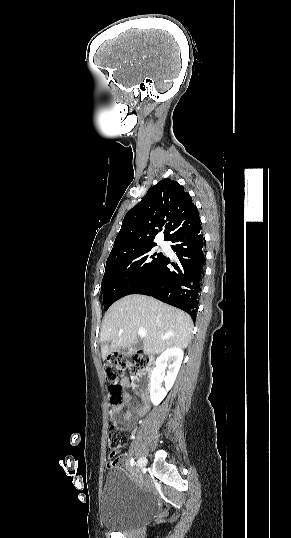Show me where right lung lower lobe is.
<instances>
[{
	"mask_svg": "<svg viewBox=\"0 0 291 538\" xmlns=\"http://www.w3.org/2000/svg\"><path fill=\"white\" fill-rule=\"evenodd\" d=\"M199 222L170 241L178 262L169 269L170 259L163 256L147 278L131 293L152 296L178 307L196 318L205 265V240Z\"/></svg>",
	"mask_w": 291,
	"mask_h": 538,
	"instance_id": "98d812e1",
	"label": "right lung lower lobe"
}]
</instances>
